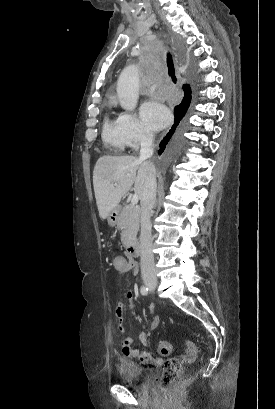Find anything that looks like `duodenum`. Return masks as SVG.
<instances>
[{
	"instance_id": "obj_1",
	"label": "duodenum",
	"mask_w": 275,
	"mask_h": 409,
	"mask_svg": "<svg viewBox=\"0 0 275 409\" xmlns=\"http://www.w3.org/2000/svg\"><path fill=\"white\" fill-rule=\"evenodd\" d=\"M127 251L131 257L137 258L140 256V245L137 241H132L127 246Z\"/></svg>"
}]
</instances>
